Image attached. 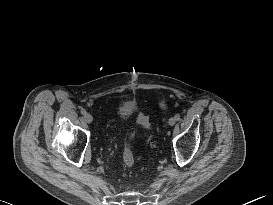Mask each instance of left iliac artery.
Wrapping results in <instances>:
<instances>
[{
	"mask_svg": "<svg viewBox=\"0 0 273 205\" xmlns=\"http://www.w3.org/2000/svg\"><path fill=\"white\" fill-rule=\"evenodd\" d=\"M175 120H176V121H179V120H180V115H179V114L175 115Z\"/></svg>",
	"mask_w": 273,
	"mask_h": 205,
	"instance_id": "left-iliac-artery-1",
	"label": "left iliac artery"
}]
</instances>
